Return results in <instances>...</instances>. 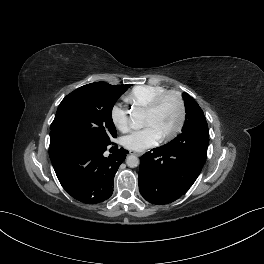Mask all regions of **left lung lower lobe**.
I'll list each match as a JSON object with an SVG mask.
<instances>
[{"label": "left lung lower lobe", "instance_id": "obj_1", "mask_svg": "<svg viewBox=\"0 0 264 264\" xmlns=\"http://www.w3.org/2000/svg\"><path fill=\"white\" fill-rule=\"evenodd\" d=\"M208 127L176 144L147 152L140 158L139 190L153 204H167L185 194L206 161Z\"/></svg>", "mask_w": 264, "mask_h": 264}]
</instances>
